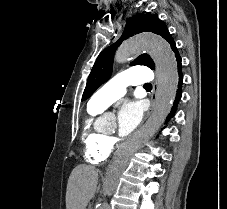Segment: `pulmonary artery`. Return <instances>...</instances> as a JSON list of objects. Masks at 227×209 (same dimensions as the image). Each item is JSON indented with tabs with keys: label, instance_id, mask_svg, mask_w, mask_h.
Instances as JSON below:
<instances>
[{
	"label": "pulmonary artery",
	"instance_id": "pulmonary-artery-1",
	"mask_svg": "<svg viewBox=\"0 0 227 209\" xmlns=\"http://www.w3.org/2000/svg\"><path fill=\"white\" fill-rule=\"evenodd\" d=\"M153 78H155V73H152L148 66H131L130 70L113 76L104 84V88L94 91V95L89 96L88 104L94 108L105 107L125 94L128 83H153Z\"/></svg>",
	"mask_w": 227,
	"mask_h": 209
}]
</instances>
